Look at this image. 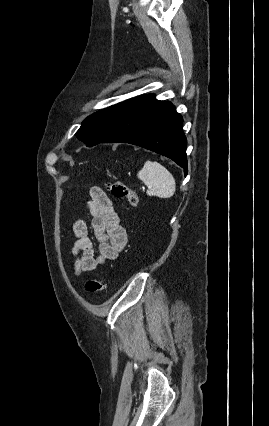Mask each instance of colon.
Here are the masks:
<instances>
[{
  "label": "colon",
  "mask_w": 269,
  "mask_h": 426,
  "mask_svg": "<svg viewBox=\"0 0 269 426\" xmlns=\"http://www.w3.org/2000/svg\"><path fill=\"white\" fill-rule=\"evenodd\" d=\"M108 187L114 197L125 200L132 207L137 205V194L124 183L115 181L109 183ZM86 289L92 294L101 293L105 290V284L98 279L90 278L86 281Z\"/></svg>",
  "instance_id": "5ec220e1"
}]
</instances>
